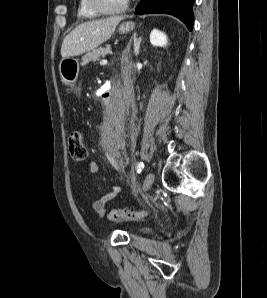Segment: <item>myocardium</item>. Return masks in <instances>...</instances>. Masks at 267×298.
Segmentation results:
<instances>
[{"label":"myocardium","instance_id":"1","mask_svg":"<svg viewBox=\"0 0 267 298\" xmlns=\"http://www.w3.org/2000/svg\"><path fill=\"white\" fill-rule=\"evenodd\" d=\"M88 3L90 8L99 15L110 16L123 13L128 8L129 0H126L120 8L115 10L107 9L101 0H88Z\"/></svg>","mask_w":267,"mask_h":298}]
</instances>
